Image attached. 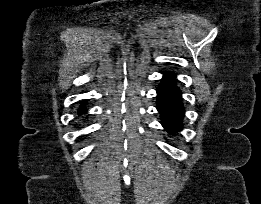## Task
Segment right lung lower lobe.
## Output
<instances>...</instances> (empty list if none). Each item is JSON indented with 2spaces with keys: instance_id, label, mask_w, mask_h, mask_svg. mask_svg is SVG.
<instances>
[{
  "instance_id": "obj_1",
  "label": "right lung lower lobe",
  "mask_w": 261,
  "mask_h": 204,
  "mask_svg": "<svg viewBox=\"0 0 261 204\" xmlns=\"http://www.w3.org/2000/svg\"><path fill=\"white\" fill-rule=\"evenodd\" d=\"M85 102H83V104L80 106V108L78 109V113L81 115L85 110H86V108H85Z\"/></svg>"
}]
</instances>
